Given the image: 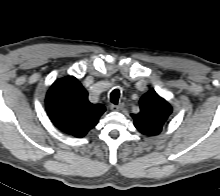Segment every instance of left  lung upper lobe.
<instances>
[{
  "instance_id": "5c2ea615",
  "label": "left lung upper lobe",
  "mask_w": 220,
  "mask_h": 196,
  "mask_svg": "<svg viewBox=\"0 0 220 196\" xmlns=\"http://www.w3.org/2000/svg\"><path fill=\"white\" fill-rule=\"evenodd\" d=\"M140 112L132 114L134 125L142 134L158 135L172 112L170 104L151 89L139 101Z\"/></svg>"
}]
</instances>
